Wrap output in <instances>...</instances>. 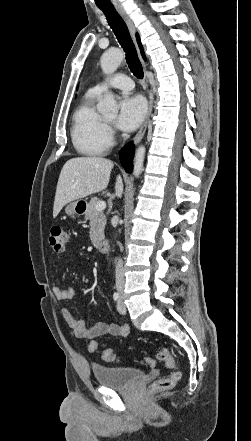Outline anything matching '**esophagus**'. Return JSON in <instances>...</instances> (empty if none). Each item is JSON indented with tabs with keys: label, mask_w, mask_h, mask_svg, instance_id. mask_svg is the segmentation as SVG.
<instances>
[{
	"label": "esophagus",
	"mask_w": 251,
	"mask_h": 441,
	"mask_svg": "<svg viewBox=\"0 0 251 441\" xmlns=\"http://www.w3.org/2000/svg\"><path fill=\"white\" fill-rule=\"evenodd\" d=\"M119 14L122 16V18L124 19V21L126 22L131 35L133 37V40L135 41V28L134 25L132 23V20L130 19L129 15L125 12V10L122 7L117 8ZM140 59L142 61V64L144 66V68L146 69V63L144 62V60L142 59V57L140 56ZM148 96H149V105H148V112L146 115V118L141 126V128L139 129L138 133L136 134V136L134 137L133 142L136 144L138 143L144 136L146 129H147V125L152 113V109H153V96L152 93L149 91L148 92Z\"/></svg>",
	"instance_id": "obj_1"
}]
</instances>
